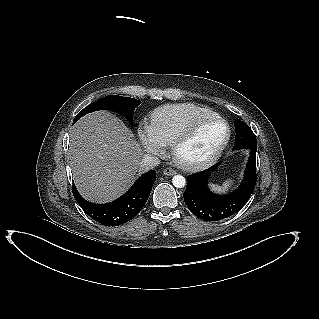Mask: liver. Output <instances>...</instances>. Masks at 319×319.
Wrapping results in <instances>:
<instances>
[{
    "mask_svg": "<svg viewBox=\"0 0 319 319\" xmlns=\"http://www.w3.org/2000/svg\"><path fill=\"white\" fill-rule=\"evenodd\" d=\"M68 158L79 193L106 203L124 194L140 170L142 149L132 132L108 111L78 120L69 131Z\"/></svg>",
    "mask_w": 319,
    "mask_h": 319,
    "instance_id": "liver-1",
    "label": "liver"
}]
</instances>
